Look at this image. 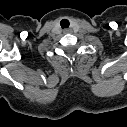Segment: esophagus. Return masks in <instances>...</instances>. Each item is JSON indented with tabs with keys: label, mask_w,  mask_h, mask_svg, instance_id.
Returning <instances> with one entry per match:
<instances>
[{
	"label": "esophagus",
	"mask_w": 127,
	"mask_h": 127,
	"mask_svg": "<svg viewBox=\"0 0 127 127\" xmlns=\"http://www.w3.org/2000/svg\"><path fill=\"white\" fill-rule=\"evenodd\" d=\"M63 32L64 33H70L71 32V29H64Z\"/></svg>",
	"instance_id": "1"
}]
</instances>
